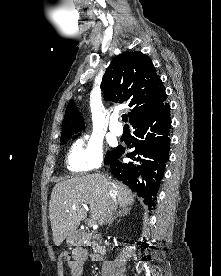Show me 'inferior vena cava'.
Segmentation results:
<instances>
[{
    "label": "inferior vena cava",
    "instance_id": "1",
    "mask_svg": "<svg viewBox=\"0 0 221 276\" xmlns=\"http://www.w3.org/2000/svg\"><path fill=\"white\" fill-rule=\"evenodd\" d=\"M117 209V203L116 199L114 196L111 197L106 209L105 213L102 219V223H110L113 220L114 213L116 212Z\"/></svg>",
    "mask_w": 221,
    "mask_h": 276
}]
</instances>
